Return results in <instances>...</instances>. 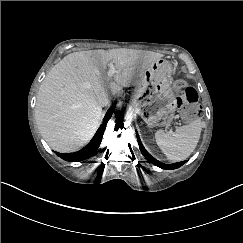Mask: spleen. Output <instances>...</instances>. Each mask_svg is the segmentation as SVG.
<instances>
[{
	"label": "spleen",
	"mask_w": 243,
	"mask_h": 243,
	"mask_svg": "<svg viewBox=\"0 0 243 243\" xmlns=\"http://www.w3.org/2000/svg\"><path fill=\"white\" fill-rule=\"evenodd\" d=\"M202 130L200 120H195L188 125L177 127L175 133H165L158 130L155 133L157 145L171 160L181 161L186 159L196 148Z\"/></svg>",
	"instance_id": "spleen-1"
}]
</instances>
